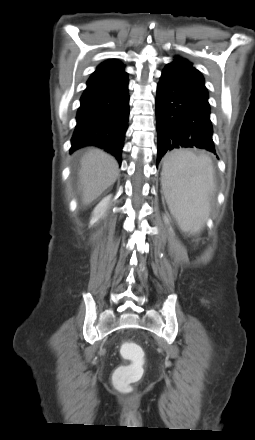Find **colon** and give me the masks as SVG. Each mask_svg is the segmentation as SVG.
I'll return each mask as SVG.
<instances>
[{
	"instance_id": "5ec220e1",
	"label": "colon",
	"mask_w": 255,
	"mask_h": 440,
	"mask_svg": "<svg viewBox=\"0 0 255 440\" xmlns=\"http://www.w3.org/2000/svg\"><path fill=\"white\" fill-rule=\"evenodd\" d=\"M120 351L121 355L131 363L118 368L114 383L119 389L128 390L142 375L143 352L138 345L132 342L123 343Z\"/></svg>"
}]
</instances>
